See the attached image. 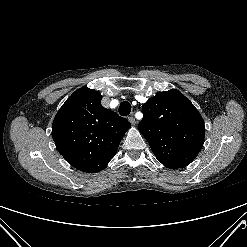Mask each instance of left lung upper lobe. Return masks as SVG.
Listing matches in <instances>:
<instances>
[{
  "label": "left lung upper lobe",
  "mask_w": 247,
  "mask_h": 247,
  "mask_svg": "<svg viewBox=\"0 0 247 247\" xmlns=\"http://www.w3.org/2000/svg\"><path fill=\"white\" fill-rule=\"evenodd\" d=\"M138 129L157 159L168 168H183L204 143V121L194 105L178 90L156 94L142 106Z\"/></svg>",
  "instance_id": "obj_1"
}]
</instances>
